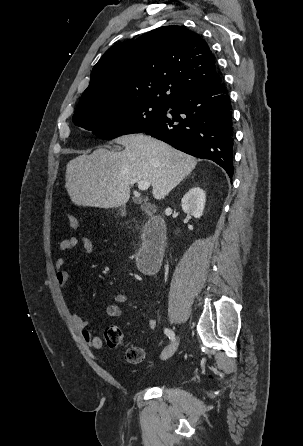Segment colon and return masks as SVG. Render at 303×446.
I'll return each instance as SVG.
<instances>
[{"label":"colon","instance_id":"obj_1","mask_svg":"<svg viewBox=\"0 0 303 446\" xmlns=\"http://www.w3.org/2000/svg\"><path fill=\"white\" fill-rule=\"evenodd\" d=\"M67 218L69 226L72 229H79V221L74 215L68 214ZM104 338L107 345L111 348L125 347L124 356L128 363L139 364L142 362L144 358L143 350L135 345L125 346L123 332L118 326L111 325L106 327L104 331Z\"/></svg>","mask_w":303,"mask_h":446}]
</instances>
